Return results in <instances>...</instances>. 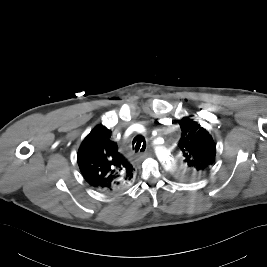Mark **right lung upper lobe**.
Returning <instances> with one entry per match:
<instances>
[{
  "label": "right lung upper lobe",
  "mask_w": 267,
  "mask_h": 267,
  "mask_svg": "<svg viewBox=\"0 0 267 267\" xmlns=\"http://www.w3.org/2000/svg\"><path fill=\"white\" fill-rule=\"evenodd\" d=\"M78 165L88 184L103 192H121L133 182L134 168L118 152L111 132L103 125L96 126L82 142Z\"/></svg>",
  "instance_id": "1"
}]
</instances>
